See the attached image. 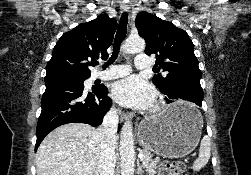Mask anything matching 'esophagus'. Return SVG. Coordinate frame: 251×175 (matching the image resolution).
<instances>
[{
  "label": "esophagus",
  "mask_w": 251,
  "mask_h": 175,
  "mask_svg": "<svg viewBox=\"0 0 251 175\" xmlns=\"http://www.w3.org/2000/svg\"><path fill=\"white\" fill-rule=\"evenodd\" d=\"M120 118H121V120H126V119H128V114L126 112H121Z\"/></svg>",
  "instance_id": "obj_1"
}]
</instances>
